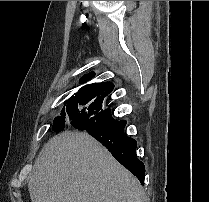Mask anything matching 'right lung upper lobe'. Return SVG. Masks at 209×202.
I'll list each match as a JSON object with an SVG mask.
<instances>
[{"label":"right lung upper lobe","instance_id":"right-lung-upper-lobe-1","mask_svg":"<svg viewBox=\"0 0 209 202\" xmlns=\"http://www.w3.org/2000/svg\"><path fill=\"white\" fill-rule=\"evenodd\" d=\"M95 74L94 73H90V74H87L85 76H94Z\"/></svg>","mask_w":209,"mask_h":202}]
</instances>
